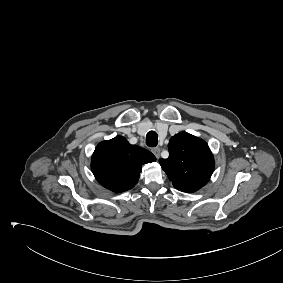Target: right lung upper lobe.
<instances>
[{
	"label": "right lung upper lobe",
	"mask_w": 283,
	"mask_h": 283,
	"mask_svg": "<svg viewBox=\"0 0 283 283\" xmlns=\"http://www.w3.org/2000/svg\"><path fill=\"white\" fill-rule=\"evenodd\" d=\"M153 161L156 158L150 151L117 136L97 145L91 169L103 187L120 193L133 188L139 180L142 165Z\"/></svg>",
	"instance_id": "cb5924a9"
}]
</instances>
